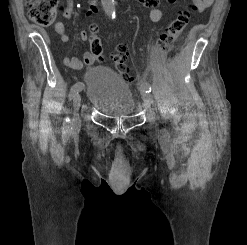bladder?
I'll list each match as a JSON object with an SVG mask.
<instances>
[{"label": "bladder", "mask_w": 247, "mask_h": 245, "mask_svg": "<svg viewBox=\"0 0 247 245\" xmlns=\"http://www.w3.org/2000/svg\"><path fill=\"white\" fill-rule=\"evenodd\" d=\"M85 80L88 100L101 113L128 116L136 111L131 87L112 69L93 66L87 70Z\"/></svg>", "instance_id": "31cf9c89"}]
</instances>
